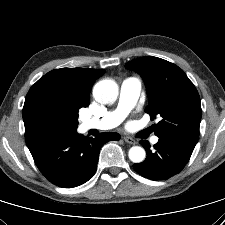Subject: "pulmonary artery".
<instances>
[{"label":"pulmonary artery","instance_id":"obj_1","mask_svg":"<svg viewBox=\"0 0 225 225\" xmlns=\"http://www.w3.org/2000/svg\"><path fill=\"white\" fill-rule=\"evenodd\" d=\"M141 92V81L137 77L125 79L120 87L117 107L103 117L87 118L83 121L84 129L107 130L118 126L130 110L136 105ZM158 137L152 138V143L158 142Z\"/></svg>","mask_w":225,"mask_h":225}]
</instances>
